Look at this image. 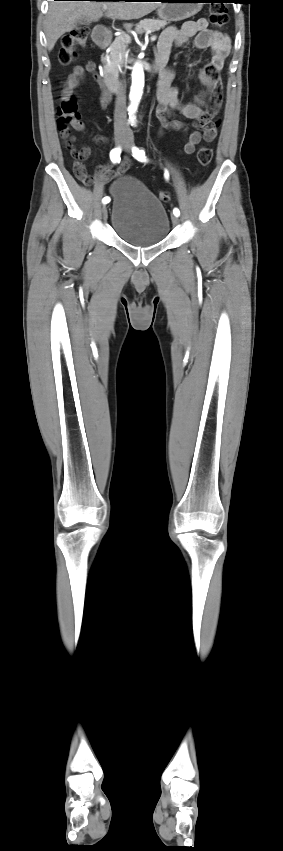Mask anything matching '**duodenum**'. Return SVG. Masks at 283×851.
<instances>
[{
  "label": "duodenum",
  "instance_id": "1",
  "mask_svg": "<svg viewBox=\"0 0 283 851\" xmlns=\"http://www.w3.org/2000/svg\"><path fill=\"white\" fill-rule=\"evenodd\" d=\"M110 40H111V33L106 29H98L94 34V41L101 48H105L106 46H108V44L110 43ZM163 66H164V64L162 62H158V61L155 62V70L156 71L162 70ZM107 80H108V83H107L108 89H110L113 93L116 92L117 89H118V85H119L118 81L113 77H111Z\"/></svg>",
  "mask_w": 283,
  "mask_h": 851
}]
</instances>
